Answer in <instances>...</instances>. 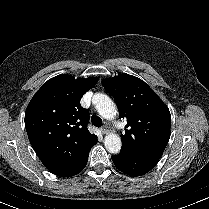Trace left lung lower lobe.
Wrapping results in <instances>:
<instances>
[{
  "label": "left lung lower lobe",
  "instance_id": "1",
  "mask_svg": "<svg viewBox=\"0 0 209 209\" xmlns=\"http://www.w3.org/2000/svg\"><path fill=\"white\" fill-rule=\"evenodd\" d=\"M115 166L123 173L130 176H141L149 172L159 159L136 155L128 152H121L111 157Z\"/></svg>",
  "mask_w": 209,
  "mask_h": 209
}]
</instances>
